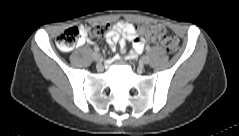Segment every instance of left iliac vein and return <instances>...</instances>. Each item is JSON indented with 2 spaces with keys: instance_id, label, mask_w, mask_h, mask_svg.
<instances>
[{
  "instance_id": "1",
  "label": "left iliac vein",
  "mask_w": 239,
  "mask_h": 136,
  "mask_svg": "<svg viewBox=\"0 0 239 136\" xmlns=\"http://www.w3.org/2000/svg\"><path fill=\"white\" fill-rule=\"evenodd\" d=\"M140 62L144 65L148 64L149 63V57L148 56H143L141 59H140Z\"/></svg>"
}]
</instances>
